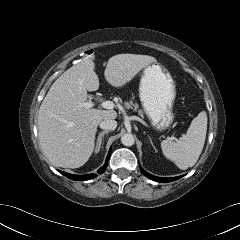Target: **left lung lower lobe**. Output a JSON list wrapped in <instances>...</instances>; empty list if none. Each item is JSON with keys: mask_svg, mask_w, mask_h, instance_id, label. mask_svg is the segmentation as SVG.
<instances>
[{"mask_svg": "<svg viewBox=\"0 0 240 240\" xmlns=\"http://www.w3.org/2000/svg\"><path fill=\"white\" fill-rule=\"evenodd\" d=\"M141 172L143 175H145L146 177L154 180V181H157V182H171V181H174V180H177L179 178H181L182 176H178V177H171V178H161V177H156V176H153L145 171H143V169H141Z\"/></svg>", "mask_w": 240, "mask_h": 240, "instance_id": "1", "label": "left lung lower lobe"}]
</instances>
